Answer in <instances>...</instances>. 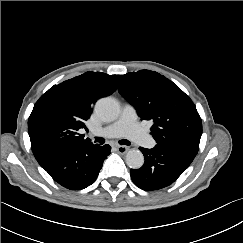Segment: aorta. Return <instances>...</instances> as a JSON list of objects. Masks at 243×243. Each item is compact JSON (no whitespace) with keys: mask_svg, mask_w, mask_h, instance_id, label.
Returning <instances> with one entry per match:
<instances>
[{"mask_svg":"<svg viewBox=\"0 0 243 243\" xmlns=\"http://www.w3.org/2000/svg\"><path fill=\"white\" fill-rule=\"evenodd\" d=\"M95 112L103 121H113L120 113L118 102L110 97L101 98L95 105ZM144 163V156L138 149L126 153V164L132 169H139Z\"/></svg>","mask_w":243,"mask_h":243,"instance_id":"1","label":"aorta"}]
</instances>
